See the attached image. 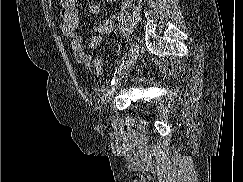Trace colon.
I'll list each match as a JSON object with an SVG mask.
<instances>
[{
    "instance_id": "1",
    "label": "colon",
    "mask_w": 243,
    "mask_h": 182,
    "mask_svg": "<svg viewBox=\"0 0 243 182\" xmlns=\"http://www.w3.org/2000/svg\"><path fill=\"white\" fill-rule=\"evenodd\" d=\"M92 67L94 68V70L96 71L97 74H103L105 71V66L104 63L101 59H95L92 62Z\"/></svg>"
}]
</instances>
